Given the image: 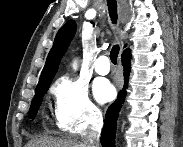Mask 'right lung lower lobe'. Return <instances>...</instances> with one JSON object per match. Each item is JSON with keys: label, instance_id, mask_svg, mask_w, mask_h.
<instances>
[{"label": "right lung lower lobe", "instance_id": "obj_1", "mask_svg": "<svg viewBox=\"0 0 183 147\" xmlns=\"http://www.w3.org/2000/svg\"><path fill=\"white\" fill-rule=\"evenodd\" d=\"M121 59H122V65L124 67L125 84L124 88L121 91H119L117 100L112 105L109 106L106 112L104 127L101 134V144L103 147L115 146L114 138L116 133L117 118L126 95L125 89L128 84V78L130 73V59H131L130 51L124 52L122 54Z\"/></svg>", "mask_w": 183, "mask_h": 147}]
</instances>
